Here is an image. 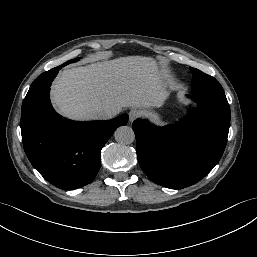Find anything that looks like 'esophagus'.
I'll return each mask as SVG.
<instances>
[{
    "mask_svg": "<svg viewBox=\"0 0 257 257\" xmlns=\"http://www.w3.org/2000/svg\"><path fill=\"white\" fill-rule=\"evenodd\" d=\"M140 116V112L138 109H132L129 112V121L132 123Z\"/></svg>",
    "mask_w": 257,
    "mask_h": 257,
    "instance_id": "34e87169",
    "label": "esophagus"
}]
</instances>
